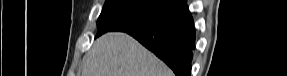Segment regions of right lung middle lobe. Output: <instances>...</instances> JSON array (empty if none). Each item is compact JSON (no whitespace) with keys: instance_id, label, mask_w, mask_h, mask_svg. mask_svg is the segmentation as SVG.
<instances>
[{"instance_id":"1","label":"right lung middle lobe","mask_w":287,"mask_h":76,"mask_svg":"<svg viewBox=\"0 0 287 76\" xmlns=\"http://www.w3.org/2000/svg\"><path fill=\"white\" fill-rule=\"evenodd\" d=\"M174 6V0H106L98 18L97 36L108 31L141 30Z\"/></svg>"}]
</instances>
